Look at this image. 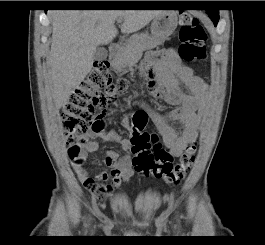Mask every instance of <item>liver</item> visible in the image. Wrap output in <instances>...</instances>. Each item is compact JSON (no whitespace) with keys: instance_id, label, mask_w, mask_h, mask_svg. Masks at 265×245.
Listing matches in <instances>:
<instances>
[{"instance_id":"6515ba94","label":"liver","mask_w":265,"mask_h":245,"mask_svg":"<svg viewBox=\"0 0 265 245\" xmlns=\"http://www.w3.org/2000/svg\"><path fill=\"white\" fill-rule=\"evenodd\" d=\"M162 10H57L52 13V43L49 56L53 99L60 109L90 72L94 52L118 34L115 20L122 19L121 32L144 28Z\"/></svg>"}]
</instances>
